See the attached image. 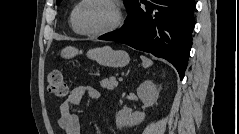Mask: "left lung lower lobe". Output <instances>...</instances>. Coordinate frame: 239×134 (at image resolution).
I'll return each instance as SVG.
<instances>
[{
	"instance_id": "1",
	"label": "left lung lower lobe",
	"mask_w": 239,
	"mask_h": 134,
	"mask_svg": "<svg viewBox=\"0 0 239 134\" xmlns=\"http://www.w3.org/2000/svg\"><path fill=\"white\" fill-rule=\"evenodd\" d=\"M135 0L125 25L99 37L168 60L184 77L192 46L195 0Z\"/></svg>"
}]
</instances>
